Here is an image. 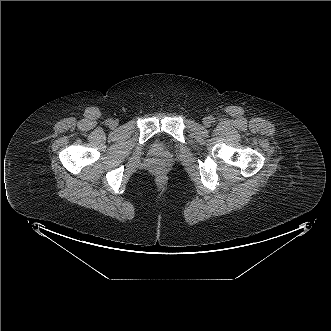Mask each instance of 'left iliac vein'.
<instances>
[{
    "instance_id": "1",
    "label": "left iliac vein",
    "mask_w": 331,
    "mask_h": 331,
    "mask_svg": "<svg viewBox=\"0 0 331 331\" xmlns=\"http://www.w3.org/2000/svg\"><path fill=\"white\" fill-rule=\"evenodd\" d=\"M203 124H204L206 127H209L210 124H211L210 119H209V118H205V119L203 120Z\"/></svg>"
}]
</instances>
